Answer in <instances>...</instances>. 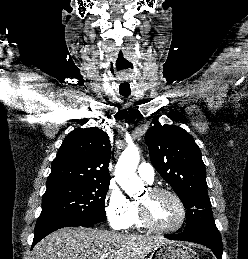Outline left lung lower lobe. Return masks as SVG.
I'll use <instances>...</instances> for the list:
<instances>
[{
	"label": "left lung lower lobe",
	"mask_w": 248,
	"mask_h": 259,
	"mask_svg": "<svg viewBox=\"0 0 248 259\" xmlns=\"http://www.w3.org/2000/svg\"><path fill=\"white\" fill-rule=\"evenodd\" d=\"M165 237L171 240L189 241L202 244L210 248L216 255L217 259L222 258V239L216 225L203 227L191 232L165 235Z\"/></svg>",
	"instance_id": "1"
}]
</instances>
